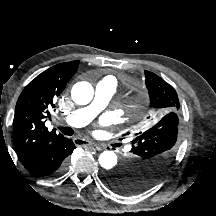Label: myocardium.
<instances>
[{"label":"myocardium","instance_id":"obj_1","mask_svg":"<svg viewBox=\"0 0 216 216\" xmlns=\"http://www.w3.org/2000/svg\"><path fill=\"white\" fill-rule=\"evenodd\" d=\"M143 109V101L140 97L132 99L128 104L130 114L139 115Z\"/></svg>","mask_w":216,"mask_h":216}]
</instances>
